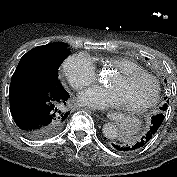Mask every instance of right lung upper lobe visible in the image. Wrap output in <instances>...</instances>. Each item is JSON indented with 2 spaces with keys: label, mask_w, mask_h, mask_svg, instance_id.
Returning a JSON list of instances; mask_svg holds the SVG:
<instances>
[{
  "label": "right lung upper lobe",
  "mask_w": 177,
  "mask_h": 177,
  "mask_svg": "<svg viewBox=\"0 0 177 177\" xmlns=\"http://www.w3.org/2000/svg\"><path fill=\"white\" fill-rule=\"evenodd\" d=\"M51 44H53V43H51ZM51 44H50V45H51ZM50 45H49V44H48V45H45V48H50Z\"/></svg>",
  "instance_id": "1"
}]
</instances>
